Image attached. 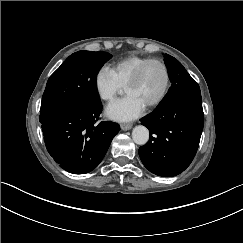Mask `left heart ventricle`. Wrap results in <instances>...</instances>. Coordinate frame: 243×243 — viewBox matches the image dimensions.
I'll return each mask as SVG.
<instances>
[{"label":"left heart ventricle","instance_id":"left-heart-ventricle-1","mask_svg":"<svg viewBox=\"0 0 243 243\" xmlns=\"http://www.w3.org/2000/svg\"><path fill=\"white\" fill-rule=\"evenodd\" d=\"M167 77L163 67L157 63L149 64L139 80L125 88L127 95L137 96L145 105L155 101L163 93Z\"/></svg>","mask_w":243,"mask_h":243}]
</instances>
